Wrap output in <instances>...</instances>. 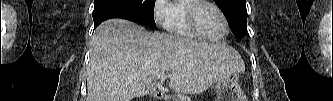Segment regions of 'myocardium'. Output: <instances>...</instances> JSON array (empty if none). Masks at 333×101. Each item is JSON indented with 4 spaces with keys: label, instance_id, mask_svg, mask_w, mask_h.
Returning a JSON list of instances; mask_svg holds the SVG:
<instances>
[{
    "label": "myocardium",
    "instance_id": "f54148a6",
    "mask_svg": "<svg viewBox=\"0 0 333 101\" xmlns=\"http://www.w3.org/2000/svg\"><path fill=\"white\" fill-rule=\"evenodd\" d=\"M210 6L213 9H215L217 11V13L220 15L223 24H224V32L221 36L216 37V38H212V37H208L207 35H205L198 24V20H197V13L198 10L202 7V6ZM186 19H187V23L189 28L201 39L204 40H208V41H221L223 40L228 32H229V24L227 21V18L225 16V14L223 13V11L213 2L210 1H203V0H198V1H191L187 8H186Z\"/></svg>",
    "mask_w": 333,
    "mask_h": 101
}]
</instances>
